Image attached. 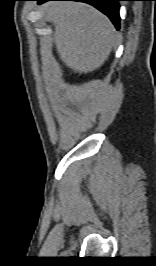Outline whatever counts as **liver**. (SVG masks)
<instances>
[{
    "label": "liver",
    "mask_w": 156,
    "mask_h": 266,
    "mask_svg": "<svg viewBox=\"0 0 156 266\" xmlns=\"http://www.w3.org/2000/svg\"><path fill=\"white\" fill-rule=\"evenodd\" d=\"M42 9L47 20L54 24L56 51L67 67L81 74L104 64L117 40L108 17L78 2H51Z\"/></svg>",
    "instance_id": "liver-1"
}]
</instances>
